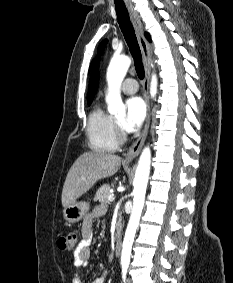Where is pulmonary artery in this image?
I'll return each mask as SVG.
<instances>
[{
  "label": "pulmonary artery",
  "mask_w": 233,
  "mask_h": 283,
  "mask_svg": "<svg viewBox=\"0 0 233 283\" xmlns=\"http://www.w3.org/2000/svg\"><path fill=\"white\" fill-rule=\"evenodd\" d=\"M121 90L126 94H134L138 91V83L135 79L128 78L123 82Z\"/></svg>",
  "instance_id": "pulmonary-artery-1"
}]
</instances>
